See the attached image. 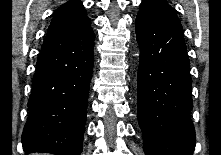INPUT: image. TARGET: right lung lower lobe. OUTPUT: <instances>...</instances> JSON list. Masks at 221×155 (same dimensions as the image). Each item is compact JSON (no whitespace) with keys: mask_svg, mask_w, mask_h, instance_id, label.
Here are the masks:
<instances>
[{"mask_svg":"<svg viewBox=\"0 0 221 155\" xmlns=\"http://www.w3.org/2000/svg\"><path fill=\"white\" fill-rule=\"evenodd\" d=\"M90 23L47 33L37 60L29 116L22 134L26 153L80 155L93 71Z\"/></svg>","mask_w":221,"mask_h":155,"instance_id":"obj_1","label":"right lung lower lobe"}]
</instances>
